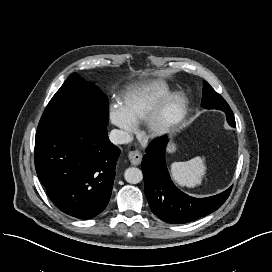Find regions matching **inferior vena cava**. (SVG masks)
I'll return each instance as SVG.
<instances>
[{
    "label": "inferior vena cava",
    "instance_id": "1",
    "mask_svg": "<svg viewBox=\"0 0 272 272\" xmlns=\"http://www.w3.org/2000/svg\"><path fill=\"white\" fill-rule=\"evenodd\" d=\"M109 140L115 144H126L130 142V135L122 130L113 129L109 134Z\"/></svg>",
    "mask_w": 272,
    "mask_h": 272
}]
</instances>
